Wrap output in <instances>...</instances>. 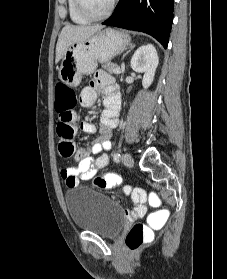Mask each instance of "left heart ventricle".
I'll use <instances>...</instances> for the list:
<instances>
[{"label":"left heart ventricle","instance_id":"1","mask_svg":"<svg viewBox=\"0 0 227 279\" xmlns=\"http://www.w3.org/2000/svg\"><path fill=\"white\" fill-rule=\"evenodd\" d=\"M86 9L93 15H100L104 13L111 0H82Z\"/></svg>","mask_w":227,"mask_h":279}]
</instances>
